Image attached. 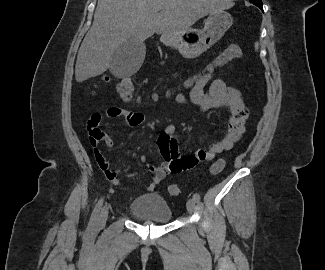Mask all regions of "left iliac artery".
I'll return each instance as SVG.
<instances>
[{"label": "left iliac artery", "mask_w": 325, "mask_h": 270, "mask_svg": "<svg viewBox=\"0 0 325 270\" xmlns=\"http://www.w3.org/2000/svg\"><path fill=\"white\" fill-rule=\"evenodd\" d=\"M193 199L195 200V202H199L200 201V195L198 193L193 194Z\"/></svg>", "instance_id": "obj_1"}]
</instances>
